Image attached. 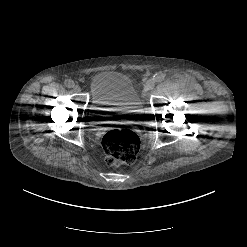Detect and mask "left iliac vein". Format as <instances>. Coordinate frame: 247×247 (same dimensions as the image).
<instances>
[{
    "label": "left iliac vein",
    "mask_w": 247,
    "mask_h": 247,
    "mask_svg": "<svg viewBox=\"0 0 247 247\" xmlns=\"http://www.w3.org/2000/svg\"><path fill=\"white\" fill-rule=\"evenodd\" d=\"M154 86H155V82L153 80H149L144 86V91L149 92L154 88Z\"/></svg>",
    "instance_id": "4c4485c4"
}]
</instances>
